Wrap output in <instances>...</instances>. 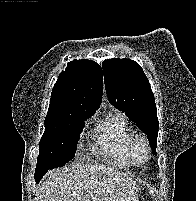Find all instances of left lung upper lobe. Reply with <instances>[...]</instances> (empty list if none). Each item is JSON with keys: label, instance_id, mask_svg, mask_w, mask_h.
Instances as JSON below:
<instances>
[{"label": "left lung upper lobe", "instance_id": "1", "mask_svg": "<svg viewBox=\"0 0 196 201\" xmlns=\"http://www.w3.org/2000/svg\"><path fill=\"white\" fill-rule=\"evenodd\" d=\"M102 68L108 100L147 134L153 154L157 155V109L143 69L130 59L117 58L104 61Z\"/></svg>", "mask_w": 196, "mask_h": 201}]
</instances>
